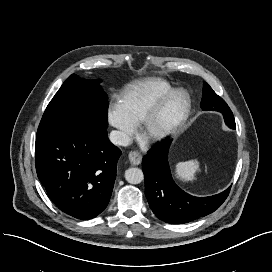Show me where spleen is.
<instances>
[{"label": "spleen", "instance_id": "3e777b00", "mask_svg": "<svg viewBox=\"0 0 272 272\" xmlns=\"http://www.w3.org/2000/svg\"><path fill=\"white\" fill-rule=\"evenodd\" d=\"M200 171L198 159L179 162L175 165V176L177 179L187 182L195 180V174Z\"/></svg>", "mask_w": 272, "mask_h": 272}]
</instances>
